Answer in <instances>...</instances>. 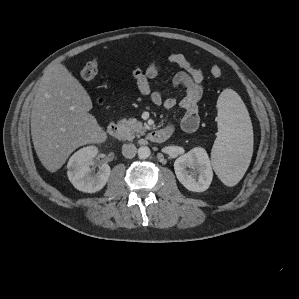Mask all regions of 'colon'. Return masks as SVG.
Returning <instances> with one entry per match:
<instances>
[{
  "instance_id": "1",
  "label": "colon",
  "mask_w": 299,
  "mask_h": 299,
  "mask_svg": "<svg viewBox=\"0 0 299 299\" xmlns=\"http://www.w3.org/2000/svg\"><path fill=\"white\" fill-rule=\"evenodd\" d=\"M98 70L99 62L96 59H92L82 67L80 74L84 80L90 81L96 77ZM210 72L215 78H219L222 75V69L218 65H214Z\"/></svg>"
}]
</instances>
